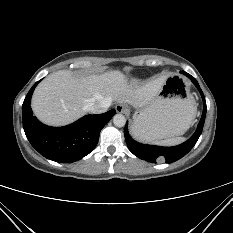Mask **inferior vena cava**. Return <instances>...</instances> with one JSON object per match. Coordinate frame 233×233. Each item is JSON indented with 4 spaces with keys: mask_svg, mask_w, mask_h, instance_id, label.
I'll use <instances>...</instances> for the list:
<instances>
[{
    "mask_svg": "<svg viewBox=\"0 0 233 233\" xmlns=\"http://www.w3.org/2000/svg\"><path fill=\"white\" fill-rule=\"evenodd\" d=\"M110 105V99H103L102 101L90 104L89 111L93 114H101L106 112Z\"/></svg>",
    "mask_w": 233,
    "mask_h": 233,
    "instance_id": "obj_1",
    "label": "inferior vena cava"
}]
</instances>
